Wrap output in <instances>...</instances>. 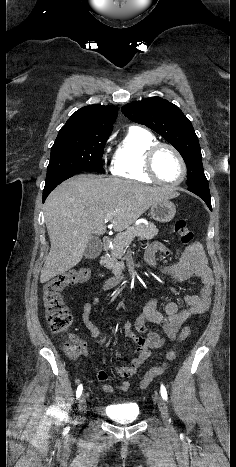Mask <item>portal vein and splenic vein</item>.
I'll return each instance as SVG.
<instances>
[{"instance_id": "18ae733b", "label": "portal vein and splenic vein", "mask_w": 236, "mask_h": 467, "mask_svg": "<svg viewBox=\"0 0 236 467\" xmlns=\"http://www.w3.org/2000/svg\"><path fill=\"white\" fill-rule=\"evenodd\" d=\"M106 220L109 221V220H111V218H107Z\"/></svg>"}]
</instances>
